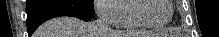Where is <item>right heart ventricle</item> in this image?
<instances>
[{"instance_id": "e07e8e85", "label": "right heart ventricle", "mask_w": 219, "mask_h": 37, "mask_svg": "<svg viewBox=\"0 0 219 37\" xmlns=\"http://www.w3.org/2000/svg\"><path fill=\"white\" fill-rule=\"evenodd\" d=\"M133 0H125L121 2L120 10L122 11V17L118 22L119 25L125 28H147L140 25L131 14V7H132Z\"/></svg>"}]
</instances>
